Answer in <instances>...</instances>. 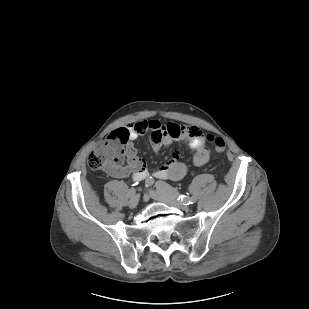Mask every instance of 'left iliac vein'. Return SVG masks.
Segmentation results:
<instances>
[{
  "label": "left iliac vein",
  "mask_w": 309,
  "mask_h": 309,
  "mask_svg": "<svg viewBox=\"0 0 309 309\" xmlns=\"http://www.w3.org/2000/svg\"><path fill=\"white\" fill-rule=\"evenodd\" d=\"M149 195L157 200V201H160V202H163V203H166L170 206H174V207H177L179 209H182V210H188L189 207L187 205H184L183 202H181L180 200H178L177 198L165 193V192H162L160 190H150L149 191Z\"/></svg>",
  "instance_id": "left-iliac-vein-1"
}]
</instances>
